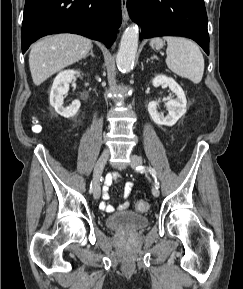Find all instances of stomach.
<instances>
[{"instance_id": "stomach-1", "label": "stomach", "mask_w": 243, "mask_h": 289, "mask_svg": "<svg viewBox=\"0 0 243 289\" xmlns=\"http://www.w3.org/2000/svg\"><path fill=\"white\" fill-rule=\"evenodd\" d=\"M150 45L154 49H161L163 47V41L160 38H154L150 41Z\"/></svg>"}]
</instances>
